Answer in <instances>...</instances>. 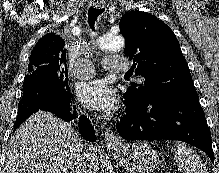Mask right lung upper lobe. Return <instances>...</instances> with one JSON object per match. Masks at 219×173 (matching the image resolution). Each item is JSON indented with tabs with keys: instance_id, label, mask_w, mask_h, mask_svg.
Masks as SVG:
<instances>
[{
	"instance_id": "right-lung-upper-lobe-1",
	"label": "right lung upper lobe",
	"mask_w": 219,
	"mask_h": 173,
	"mask_svg": "<svg viewBox=\"0 0 219 173\" xmlns=\"http://www.w3.org/2000/svg\"><path fill=\"white\" fill-rule=\"evenodd\" d=\"M64 40L55 33H48L41 37L33 48L29 61L50 62L67 69L66 50Z\"/></svg>"
}]
</instances>
